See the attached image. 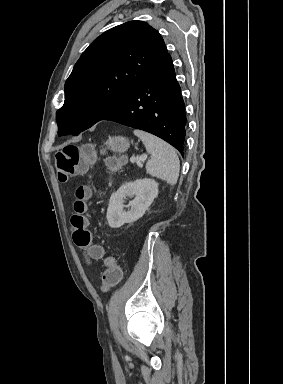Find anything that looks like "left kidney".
<instances>
[{"label":"left kidney","instance_id":"left-kidney-1","mask_svg":"<svg viewBox=\"0 0 283 384\" xmlns=\"http://www.w3.org/2000/svg\"><path fill=\"white\" fill-rule=\"evenodd\" d=\"M127 196H131L134 200H131L128 206H124L123 200ZM157 196L158 184L155 180L143 178V180L123 184L109 200L106 218L110 228H121L124 224H131L142 218ZM123 208H130V210L124 212Z\"/></svg>","mask_w":283,"mask_h":384}]
</instances>
